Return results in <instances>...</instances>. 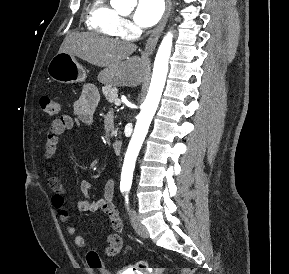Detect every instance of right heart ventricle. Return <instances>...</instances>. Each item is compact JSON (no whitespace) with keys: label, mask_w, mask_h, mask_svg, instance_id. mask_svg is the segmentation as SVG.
<instances>
[{"label":"right heart ventricle","mask_w":289,"mask_h":274,"mask_svg":"<svg viewBox=\"0 0 289 274\" xmlns=\"http://www.w3.org/2000/svg\"><path fill=\"white\" fill-rule=\"evenodd\" d=\"M122 19L110 6L108 0H91L87 6L85 23L89 30L99 34L118 37L123 34Z\"/></svg>","instance_id":"e07e8e85"}]
</instances>
